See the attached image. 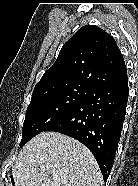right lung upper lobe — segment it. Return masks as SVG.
I'll list each match as a JSON object with an SVG mask.
<instances>
[{
  "mask_svg": "<svg viewBox=\"0 0 138 186\" xmlns=\"http://www.w3.org/2000/svg\"><path fill=\"white\" fill-rule=\"evenodd\" d=\"M126 82L125 62L114 38L95 25H86L63 45L33 93L70 85L97 88Z\"/></svg>",
  "mask_w": 138,
  "mask_h": 186,
  "instance_id": "right-lung-upper-lobe-1",
  "label": "right lung upper lobe"
}]
</instances>
